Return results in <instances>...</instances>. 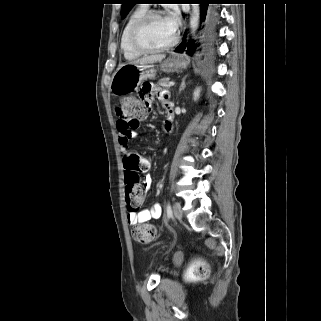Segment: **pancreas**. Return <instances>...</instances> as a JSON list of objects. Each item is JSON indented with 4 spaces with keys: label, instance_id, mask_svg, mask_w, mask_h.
<instances>
[{
    "label": "pancreas",
    "instance_id": "obj_1",
    "mask_svg": "<svg viewBox=\"0 0 321 321\" xmlns=\"http://www.w3.org/2000/svg\"><path fill=\"white\" fill-rule=\"evenodd\" d=\"M169 78H162L158 81V86L163 88H169Z\"/></svg>",
    "mask_w": 321,
    "mask_h": 321
}]
</instances>
